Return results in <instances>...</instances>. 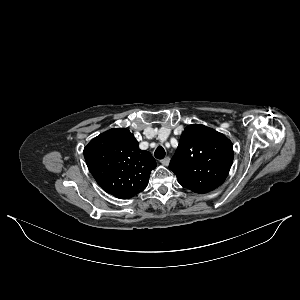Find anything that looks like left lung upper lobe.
<instances>
[{
	"mask_svg": "<svg viewBox=\"0 0 300 300\" xmlns=\"http://www.w3.org/2000/svg\"><path fill=\"white\" fill-rule=\"evenodd\" d=\"M233 162V145L223 134L204 125L187 126L170 161L181 186L208 193L226 179Z\"/></svg>",
	"mask_w": 300,
	"mask_h": 300,
	"instance_id": "5c2ea615",
	"label": "left lung upper lobe"
}]
</instances>
